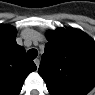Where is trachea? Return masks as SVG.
Instances as JSON below:
<instances>
[{
    "instance_id": "trachea-1",
    "label": "trachea",
    "mask_w": 95,
    "mask_h": 95,
    "mask_svg": "<svg viewBox=\"0 0 95 95\" xmlns=\"http://www.w3.org/2000/svg\"><path fill=\"white\" fill-rule=\"evenodd\" d=\"M27 56L30 59H35L38 56V51L36 49H30L27 51Z\"/></svg>"
}]
</instances>
